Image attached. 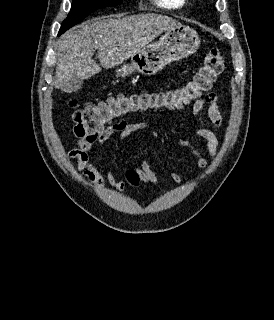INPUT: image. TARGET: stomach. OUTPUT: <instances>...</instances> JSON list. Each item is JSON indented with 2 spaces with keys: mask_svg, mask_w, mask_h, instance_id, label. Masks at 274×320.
Wrapping results in <instances>:
<instances>
[{
  "mask_svg": "<svg viewBox=\"0 0 274 320\" xmlns=\"http://www.w3.org/2000/svg\"><path fill=\"white\" fill-rule=\"evenodd\" d=\"M199 44L197 32L179 24L167 30L156 44H151L150 48H144L142 52L132 56L130 68L144 76H154L170 62L192 56L198 50Z\"/></svg>",
  "mask_w": 274,
  "mask_h": 320,
  "instance_id": "stomach-1",
  "label": "stomach"
}]
</instances>
